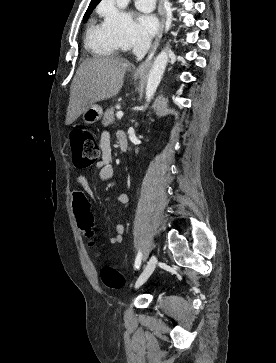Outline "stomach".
I'll return each instance as SVG.
<instances>
[{"mask_svg": "<svg viewBox=\"0 0 276 363\" xmlns=\"http://www.w3.org/2000/svg\"><path fill=\"white\" fill-rule=\"evenodd\" d=\"M141 76L142 75H138V77ZM102 114V107L97 104H92L82 113V119L86 124H93L101 119Z\"/></svg>", "mask_w": 276, "mask_h": 363, "instance_id": "1", "label": "stomach"}]
</instances>
